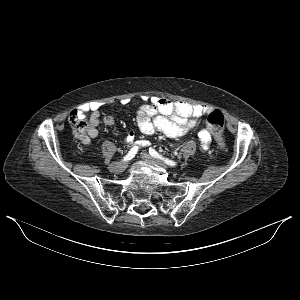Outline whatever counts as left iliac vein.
Listing matches in <instances>:
<instances>
[{
  "instance_id": "left-iliac-vein-1",
  "label": "left iliac vein",
  "mask_w": 300,
  "mask_h": 300,
  "mask_svg": "<svg viewBox=\"0 0 300 300\" xmlns=\"http://www.w3.org/2000/svg\"><path fill=\"white\" fill-rule=\"evenodd\" d=\"M142 158L145 160V161H148V162H152L154 164H157L159 165L160 167L164 168V169H167V167L162 163L160 162L159 160L151 157L148 153H143L142 154Z\"/></svg>"
}]
</instances>
